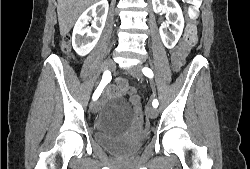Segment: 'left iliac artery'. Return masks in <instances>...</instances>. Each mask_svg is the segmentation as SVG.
Instances as JSON below:
<instances>
[{
    "label": "left iliac artery",
    "instance_id": "left-iliac-artery-1",
    "mask_svg": "<svg viewBox=\"0 0 250 169\" xmlns=\"http://www.w3.org/2000/svg\"><path fill=\"white\" fill-rule=\"evenodd\" d=\"M142 72L145 76H147L148 78H153V71L150 69V68H147V67H144L142 69ZM158 100L157 99H154L153 102H152V105L154 108H157L158 107Z\"/></svg>",
    "mask_w": 250,
    "mask_h": 169
}]
</instances>
